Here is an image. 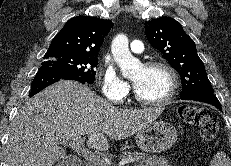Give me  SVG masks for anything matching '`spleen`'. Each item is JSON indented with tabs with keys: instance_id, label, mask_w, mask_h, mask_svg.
Listing matches in <instances>:
<instances>
[{
	"instance_id": "spleen-1",
	"label": "spleen",
	"mask_w": 231,
	"mask_h": 166,
	"mask_svg": "<svg viewBox=\"0 0 231 166\" xmlns=\"http://www.w3.org/2000/svg\"><path fill=\"white\" fill-rule=\"evenodd\" d=\"M210 166H231V162L223 151H219L214 155L210 162Z\"/></svg>"
}]
</instances>
